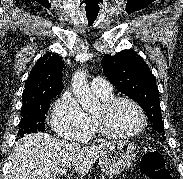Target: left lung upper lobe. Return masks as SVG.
I'll use <instances>...</instances> for the list:
<instances>
[{
  "mask_svg": "<svg viewBox=\"0 0 183 179\" xmlns=\"http://www.w3.org/2000/svg\"><path fill=\"white\" fill-rule=\"evenodd\" d=\"M105 76L122 93L136 101L145 111L154 130L164 136L159 91L148 65L132 50H123L102 59Z\"/></svg>",
  "mask_w": 183,
  "mask_h": 179,
  "instance_id": "5c2ea615",
  "label": "left lung upper lobe"
}]
</instances>
